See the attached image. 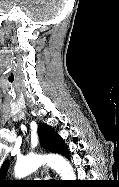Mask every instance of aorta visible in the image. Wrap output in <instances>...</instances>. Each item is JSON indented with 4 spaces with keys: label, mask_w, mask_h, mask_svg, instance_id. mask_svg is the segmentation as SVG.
I'll list each match as a JSON object with an SVG mask.
<instances>
[{
    "label": "aorta",
    "mask_w": 119,
    "mask_h": 187,
    "mask_svg": "<svg viewBox=\"0 0 119 187\" xmlns=\"http://www.w3.org/2000/svg\"><path fill=\"white\" fill-rule=\"evenodd\" d=\"M47 163L61 176L62 180H75L76 176L71 164L60 155H29L19 159L15 165L14 172L18 178H23L42 164Z\"/></svg>",
    "instance_id": "obj_1"
}]
</instances>
